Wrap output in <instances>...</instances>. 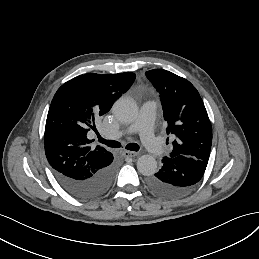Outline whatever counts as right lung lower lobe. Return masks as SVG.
<instances>
[{"label": "right lung lower lobe", "instance_id": "right-lung-lower-lobe-1", "mask_svg": "<svg viewBox=\"0 0 259 259\" xmlns=\"http://www.w3.org/2000/svg\"><path fill=\"white\" fill-rule=\"evenodd\" d=\"M58 183L72 196L82 200L96 199L110 189L115 175V166L112 162L97 170L90 177L76 179L53 171Z\"/></svg>", "mask_w": 259, "mask_h": 259}]
</instances>
